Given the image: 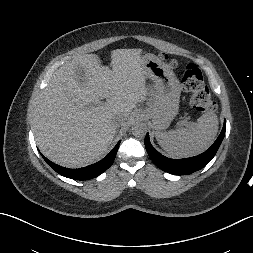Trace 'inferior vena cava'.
<instances>
[{
	"instance_id": "obj_1",
	"label": "inferior vena cava",
	"mask_w": 253,
	"mask_h": 253,
	"mask_svg": "<svg viewBox=\"0 0 253 253\" xmlns=\"http://www.w3.org/2000/svg\"><path fill=\"white\" fill-rule=\"evenodd\" d=\"M114 126L116 128H124L125 127V117L123 115H116L113 117V120H112Z\"/></svg>"
}]
</instances>
